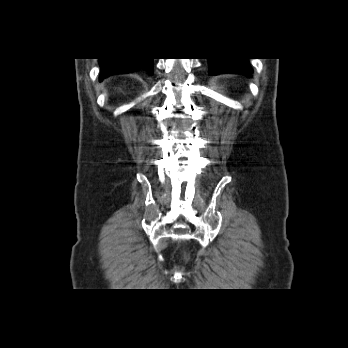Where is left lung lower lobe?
I'll list each match as a JSON object with an SVG mask.
<instances>
[{
  "instance_id": "1",
  "label": "left lung lower lobe",
  "mask_w": 348,
  "mask_h": 348,
  "mask_svg": "<svg viewBox=\"0 0 348 348\" xmlns=\"http://www.w3.org/2000/svg\"><path fill=\"white\" fill-rule=\"evenodd\" d=\"M210 64V75L220 73H235L251 76L252 69L248 58H208Z\"/></svg>"
}]
</instances>
